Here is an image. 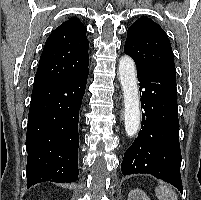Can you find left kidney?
I'll return each mask as SVG.
<instances>
[{
	"label": "left kidney",
	"mask_w": 201,
	"mask_h": 200,
	"mask_svg": "<svg viewBox=\"0 0 201 200\" xmlns=\"http://www.w3.org/2000/svg\"><path fill=\"white\" fill-rule=\"evenodd\" d=\"M128 200H150V198L141 189H133L128 194Z\"/></svg>",
	"instance_id": "obj_1"
}]
</instances>
